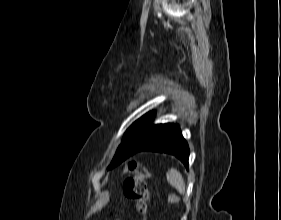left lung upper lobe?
<instances>
[{
	"mask_svg": "<svg viewBox=\"0 0 281 220\" xmlns=\"http://www.w3.org/2000/svg\"><path fill=\"white\" fill-rule=\"evenodd\" d=\"M153 112H150L134 122L126 131L123 142L119 146L109 168H113L122 161L137 153L154 135L159 124H152Z\"/></svg>",
	"mask_w": 281,
	"mask_h": 220,
	"instance_id": "5c2ea615",
	"label": "left lung upper lobe"
}]
</instances>
